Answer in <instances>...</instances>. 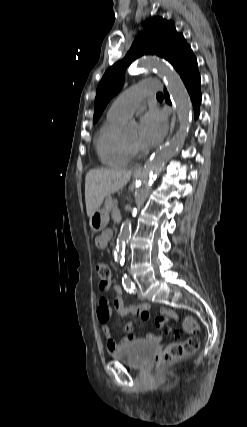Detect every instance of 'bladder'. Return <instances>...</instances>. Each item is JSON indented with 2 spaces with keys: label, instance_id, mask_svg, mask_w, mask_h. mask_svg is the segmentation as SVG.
I'll return each instance as SVG.
<instances>
[{
  "label": "bladder",
  "instance_id": "obj_1",
  "mask_svg": "<svg viewBox=\"0 0 247 427\" xmlns=\"http://www.w3.org/2000/svg\"><path fill=\"white\" fill-rule=\"evenodd\" d=\"M157 347L145 340L133 341L112 353V358L124 362L130 367L141 369L148 365L155 355Z\"/></svg>",
  "mask_w": 247,
  "mask_h": 427
}]
</instances>
